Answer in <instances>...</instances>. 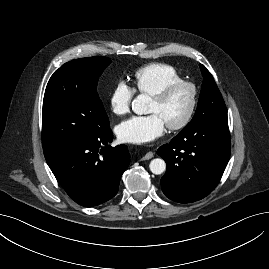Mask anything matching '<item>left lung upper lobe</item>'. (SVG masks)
Segmentation results:
<instances>
[{
  "label": "left lung upper lobe",
  "instance_id": "left-lung-upper-lobe-1",
  "mask_svg": "<svg viewBox=\"0 0 269 269\" xmlns=\"http://www.w3.org/2000/svg\"><path fill=\"white\" fill-rule=\"evenodd\" d=\"M200 69L203 83L197 109L194 117L184 129L198 124L227 121L226 106L214 78L202 64H200Z\"/></svg>",
  "mask_w": 269,
  "mask_h": 269
}]
</instances>
